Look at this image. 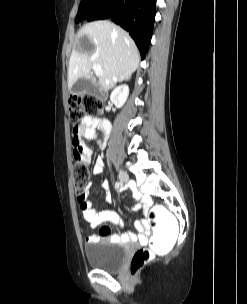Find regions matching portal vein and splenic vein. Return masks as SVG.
<instances>
[{
	"mask_svg": "<svg viewBox=\"0 0 247 304\" xmlns=\"http://www.w3.org/2000/svg\"><path fill=\"white\" fill-rule=\"evenodd\" d=\"M92 68H93V70H94V72H95V74H96L97 76H102V75H103V71H102V68H101L100 65H98V64H93Z\"/></svg>",
	"mask_w": 247,
	"mask_h": 304,
	"instance_id": "obj_1",
	"label": "portal vein and splenic vein"
}]
</instances>
